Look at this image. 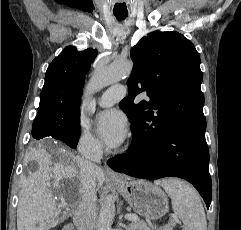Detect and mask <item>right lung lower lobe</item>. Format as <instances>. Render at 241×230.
<instances>
[{
	"label": "right lung lower lobe",
	"instance_id": "obj_1",
	"mask_svg": "<svg viewBox=\"0 0 241 230\" xmlns=\"http://www.w3.org/2000/svg\"><path fill=\"white\" fill-rule=\"evenodd\" d=\"M71 146V148H76L77 147V144H75V145H73V144H70Z\"/></svg>",
	"mask_w": 241,
	"mask_h": 230
}]
</instances>
